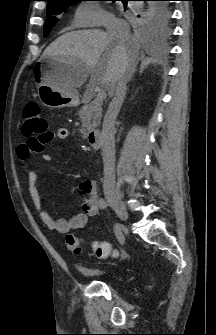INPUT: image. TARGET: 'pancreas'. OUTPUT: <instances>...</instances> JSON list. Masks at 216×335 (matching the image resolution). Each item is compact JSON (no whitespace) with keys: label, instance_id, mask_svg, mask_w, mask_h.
Instances as JSON below:
<instances>
[{"label":"pancreas","instance_id":"1","mask_svg":"<svg viewBox=\"0 0 216 335\" xmlns=\"http://www.w3.org/2000/svg\"><path fill=\"white\" fill-rule=\"evenodd\" d=\"M92 95L91 91H87L83 98L84 106L79 110V118L82 122V128L80 132L83 136L93 128L100 124L102 117V104L100 101L94 100L90 103L87 102L88 97Z\"/></svg>","mask_w":216,"mask_h":335}]
</instances>
